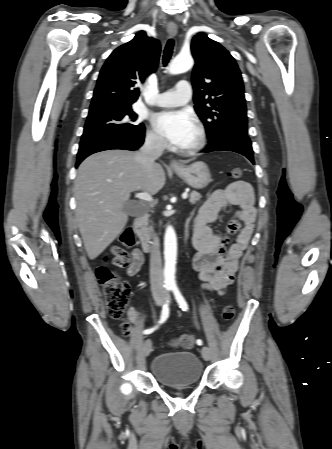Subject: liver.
I'll list each match as a JSON object with an SVG mask.
<instances>
[{
    "label": "liver",
    "mask_w": 332,
    "mask_h": 449,
    "mask_svg": "<svg viewBox=\"0 0 332 449\" xmlns=\"http://www.w3.org/2000/svg\"><path fill=\"white\" fill-rule=\"evenodd\" d=\"M136 153L110 150L86 158L75 179L76 219L88 257H98L122 232L130 195L156 194L165 185L161 165L146 168Z\"/></svg>",
    "instance_id": "6515ba94"
}]
</instances>
